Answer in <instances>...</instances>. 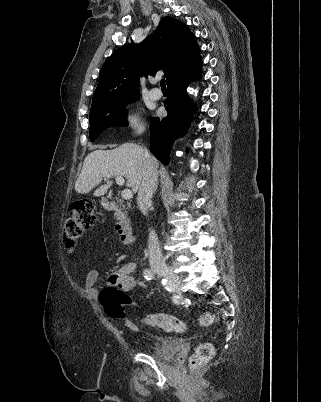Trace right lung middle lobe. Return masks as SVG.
Instances as JSON below:
<instances>
[{
  "instance_id": "right-lung-middle-lobe-1",
  "label": "right lung middle lobe",
  "mask_w": 321,
  "mask_h": 402,
  "mask_svg": "<svg viewBox=\"0 0 321 402\" xmlns=\"http://www.w3.org/2000/svg\"><path fill=\"white\" fill-rule=\"evenodd\" d=\"M138 98L139 94H134L105 105L92 107L90 110V140L94 141L98 135L108 127L127 126L124 105L133 103Z\"/></svg>"
}]
</instances>
